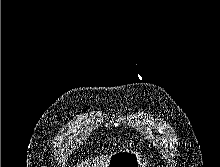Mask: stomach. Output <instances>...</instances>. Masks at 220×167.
<instances>
[{
  "instance_id": "1",
  "label": "stomach",
  "mask_w": 220,
  "mask_h": 167,
  "mask_svg": "<svg viewBox=\"0 0 220 167\" xmlns=\"http://www.w3.org/2000/svg\"><path fill=\"white\" fill-rule=\"evenodd\" d=\"M142 164L143 160L139 152L132 149H123L114 152L110 156L107 167H141Z\"/></svg>"
}]
</instances>
